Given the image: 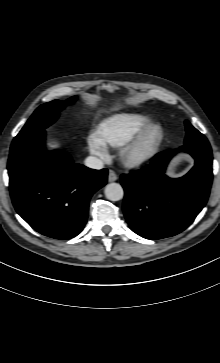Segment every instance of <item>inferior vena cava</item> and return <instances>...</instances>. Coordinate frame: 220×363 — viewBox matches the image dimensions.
<instances>
[{
  "instance_id": "602c4592",
  "label": "inferior vena cava",
  "mask_w": 220,
  "mask_h": 363,
  "mask_svg": "<svg viewBox=\"0 0 220 363\" xmlns=\"http://www.w3.org/2000/svg\"><path fill=\"white\" fill-rule=\"evenodd\" d=\"M85 165L92 169L100 170L103 168V162L97 157L89 156L85 159Z\"/></svg>"
}]
</instances>
